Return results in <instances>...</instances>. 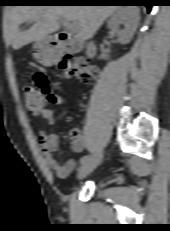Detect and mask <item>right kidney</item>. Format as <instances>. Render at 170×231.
Listing matches in <instances>:
<instances>
[{
	"instance_id": "ca27d5eb",
	"label": "right kidney",
	"mask_w": 170,
	"mask_h": 231,
	"mask_svg": "<svg viewBox=\"0 0 170 231\" xmlns=\"http://www.w3.org/2000/svg\"><path fill=\"white\" fill-rule=\"evenodd\" d=\"M139 9L134 6L122 7L108 21V27L116 32L118 40L122 44L131 41L139 23ZM124 24V29H119V25Z\"/></svg>"
}]
</instances>
